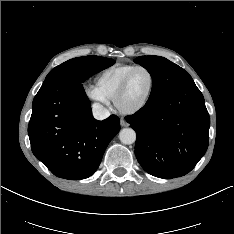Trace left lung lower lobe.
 <instances>
[{"instance_id": "1", "label": "left lung lower lobe", "mask_w": 234, "mask_h": 234, "mask_svg": "<svg viewBox=\"0 0 234 234\" xmlns=\"http://www.w3.org/2000/svg\"><path fill=\"white\" fill-rule=\"evenodd\" d=\"M126 120L137 134L136 158L153 176H184L208 148L210 118L203 95L192 79L147 101Z\"/></svg>"}]
</instances>
